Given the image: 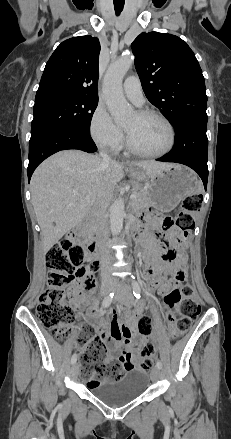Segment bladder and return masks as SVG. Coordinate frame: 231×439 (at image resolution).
I'll use <instances>...</instances> for the list:
<instances>
[{"label": "bladder", "instance_id": "31cf9c89", "mask_svg": "<svg viewBox=\"0 0 231 439\" xmlns=\"http://www.w3.org/2000/svg\"><path fill=\"white\" fill-rule=\"evenodd\" d=\"M151 375L142 368L127 369L118 381H107L89 387V392L111 407H118L139 398L147 389Z\"/></svg>", "mask_w": 231, "mask_h": 439}]
</instances>
